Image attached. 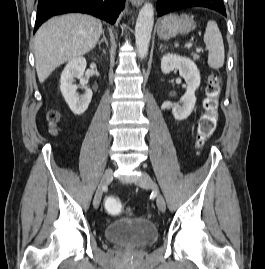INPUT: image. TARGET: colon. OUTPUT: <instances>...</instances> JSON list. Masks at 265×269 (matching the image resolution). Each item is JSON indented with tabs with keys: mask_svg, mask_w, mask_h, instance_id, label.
I'll return each instance as SVG.
<instances>
[{
	"mask_svg": "<svg viewBox=\"0 0 265 269\" xmlns=\"http://www.w3.org/2000/svg\"><path fill=\"white\" fill-rule=\"evenodd\" d=\"M221 93L220 79L216 74H211L206 86V96L203 101L204 113L199 121L197 144L203 146L213 135L218 123L219 97ZM59 120V113L55 110L48 114L49 126L54 129ZM105 210L111 215H117L123 210V204L117 197H107Z\"/></svg>",
	"mask_w": 265,
	"mask_h": 269,
	"instance_id": "1",
	"label": "colon"
}]
</instances>
